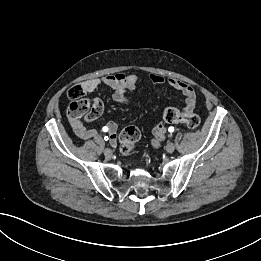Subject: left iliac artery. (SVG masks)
Here are the masks:
<instances>
[{"instance_id": "obj_1", "label": "left iliac artery", "mask_w": 261, "mask_h": 261, "mask_svg": "<svg viewBox=\"0 0 261 261\" xmlns=\"http://www.w3.org/2000/svg\"><path fill=\"white\" fill-rule=\"evenodd\" d=\"M168 130H169V132H171V133H172V132L174 131V127H172V126H171V127H169V129H168Z\"/></svg>"}]
</instances>
